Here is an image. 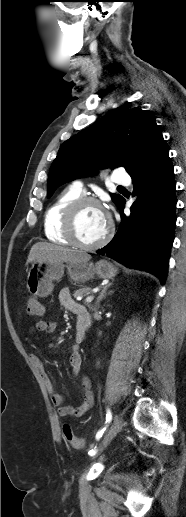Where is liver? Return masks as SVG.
<instances>
[{
  "mask_svg": "<svg viewBox=\"0 0 186 517\" xmlns=\"http://www.w3.org/2000/svg\"><path fill=\"white\" fill-rule=\"evenodd\" d=\"M90 259L91 256L82 251L72 250L54 244L38 242L32 246L28 255L27 263H81L88 262Z\"/></svg>",
  "mask_w": 186,
  "mask_h": 517,
  "instance_id": "6515ba94",
  "label": "liver"
}]
</instances>
